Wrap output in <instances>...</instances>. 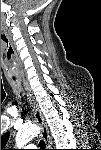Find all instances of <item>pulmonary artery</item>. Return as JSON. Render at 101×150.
Returning <instances> with one entry per match:
<instances>
[{"instance_id": "e3ab8cb5", "label": "pulmonary artery", "mask_w": 101, "mask_h": 150, "mask_svg": "<svg viewBox=\"0 0 101 150\" xmlns=\"http://www.w3.org/2000/svg\"><path fill=\"white\" fill-rule=\"evenodd\" d=\"M26 148L33 149V148H35V146L33 144H29V145L26 146Z\"/></svg>"}]
</instances>
